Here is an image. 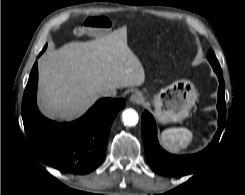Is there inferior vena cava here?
I'll list each match as a JSON object with an SVG mask.
<instances>
[{
  "mask_svg": "<svg viewBox=\"0 0 245 195\" xmlns=\"http://www.w3.org/2000/svg\"><path fill=\"white\" fill-rule=\"evenodd\" d=\"M115 95H116V92L112 90H104L101 92V96H104V97H114Z\"/></svg>",
  "mask_w": 245,
  "mask_h": 195,
  "instance_id": "obj_1",
  "label": "inferior vena cava"
}]
</instances>
